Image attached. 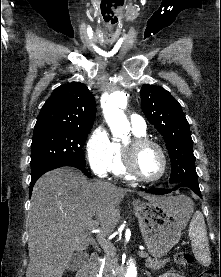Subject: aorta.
<instances>
[{
    "mask_svg": "<svg viewBox=\"0 0 221 277\" xmlns=\"http://www.w3.org/2000/svg\"><path fill=\"white\" fill-rule=\"evenodd\" d=\"M126 106L127 97L123 91H118L110 95L106 104L103 106L105 119L112 134L121 139L126 138L130 131V123L122 110ZM137 275L136 261L133 257H130L127 262L125 277H137Z\"/></svg>",
    "mask_w": 221,
    "mask_h": 277,
    "instance_id": "762f6f07",
    "label": "aorta"
}]
</instances>
